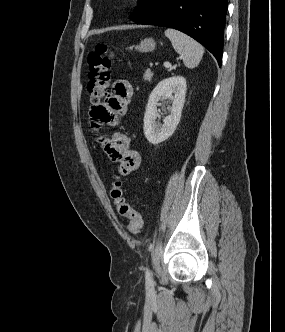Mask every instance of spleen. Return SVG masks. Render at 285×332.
<instances>
[{
    "label": "spleen",
    "mask_w": 285,
    "mask_h": 332,
    "mask_svg": "<svg viewBox=\"0 0 285 332\" xmlns=\"http://www.w3.org/2000/svg\"><path fill=\"white\" fill-rule=\"evenodd\" d=\"M165 36L170 39L175 51L181 55L186 67L195 68L199 64L204 53L202 45L175 29H167Z\"/></svg>",
    "instance_id": "obj_1"
}]
</instances>
